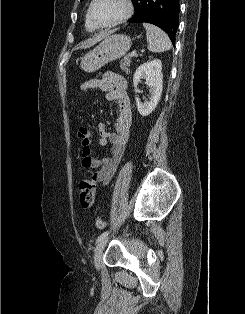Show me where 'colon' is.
<instances>
[{"label":"colon","instance_id":"colon-1","mask_svg":"<svg viewBox=\"0 0 245 314\" xmlns=\"http://www.w3.org/2000/svg\"><path fill=\"white\" fill-rule=\"evenodd\" d=\"M96 194V184L92 177L82 179L79 183V195L80 202L84 208H90L94 202ZM96 226L99 229H105L107 224L106 222L98 217L96 219Z\"/></svg>","mask_w":245,"mask_h":314}]
</instances>
